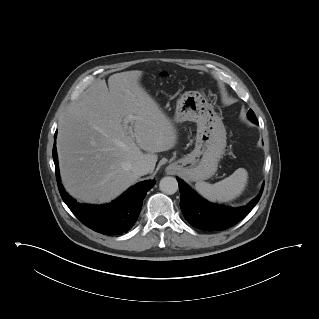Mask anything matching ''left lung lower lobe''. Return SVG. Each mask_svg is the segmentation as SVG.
Segmentation results:
<instances>
[{"mask_svg":"<svg viewBox=\"0 0 319 319\" xmlns=\"http://www.w3.org/2000/svg\"><path fill=\"white\" fill-rule=\"evenodd\" d=\"M258 124V122H254ZM181 194L180 207L185 219L194 227L206 231H217L229 228L244 219L259 201V195L243 207L218 206L199 197L190 187L177 178Z\"/></svg>","mask_w":319,"mask_h":319,"instance_id":"1","label":"left lung lower lobe"}]
</instances>
